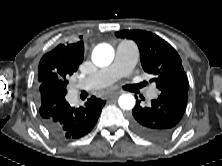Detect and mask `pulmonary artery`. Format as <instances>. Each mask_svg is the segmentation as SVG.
<instances>
[{"label": "pulmonary artery", "mask_w": 222, "mask_h": 166, "mask_svg": "<svg viewBox=\"0 0 222 166\" xmlns=\"http://www.w3.org/2000/svg\"><path fill=\"white\" fill-rule=\"evenodd\" d=\"M137 58L136 47L128 41L121 42L117 47L114 62L109 67L101 69L82 80L78 88L93 90L111 85L120 77L126 76L131 72ZM147 97L150 99L157 97V90L154 86L148 90Z\"/></svg>", "instance_id": "pulmonary-artery-1"}]
</instances>
